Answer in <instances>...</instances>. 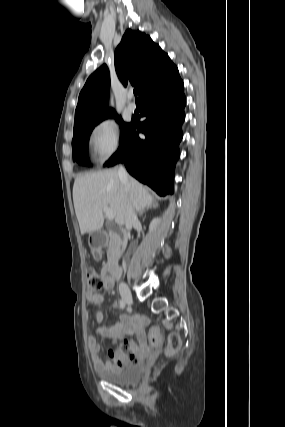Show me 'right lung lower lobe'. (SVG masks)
I'll return each instance as SVG.
<instances>
[{"instance_id":"98d812e1","label":"right lung lower lobe","mask_w":285,"mask_h":427,"mask_svg":"<svg viewBox=\"0 0 285 427\" xmlns=\"http://www.w3.org/2000/svg\"><path fill=\"white\" fill-rule=\"evenodd\" d=\"M147 119L133 116L118 151L105 163L124 162L127 171L159 195L173 193L174 167L179 158L185 119L184 84L176 66L151 82L142 92ZM143 133L145 138H140Z\"/></svg>"}]
</instances>
